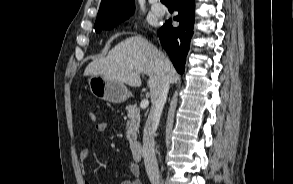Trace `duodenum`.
Segmentation results:
<instances>
[{
    "mask_svg": "<svg viewBox=\"0 0 293 184\" xmlns=\"http://www.w3.org/2000/svg\"><path fill=\"white\" fill-rule=\"evenodd\" d=\"M131 154L132 158L135 161H138L141 159L142 156V143L140 141H132L130 144Z\"/></svg>",
    "mask_w": 293,
    "mask_h": 184,
    "instance_id": "1",
    "label": "duodenum"
}]
</instances>
